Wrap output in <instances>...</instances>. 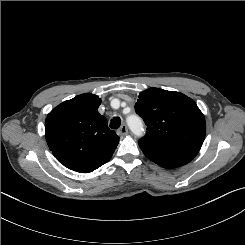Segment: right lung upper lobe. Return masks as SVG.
<instances>
[{
  "label": "right lung upper lobe",
  "mask_w": 245,
  "mask_h": 245,
  "mask_svg": "<svg viewBox=\"0 0 245 245\" xmlns=\"http://www.w3.org/2000/svg\"><path fill=\"white\" fill-rule=\"evenodd\" d=\"M101 100L85 93L55 107L45 121L49 149L65 167L89 173L108 162L119 137L97 110Z\"/></svg>",
  "instance_id": "1"
}]
</instances>
